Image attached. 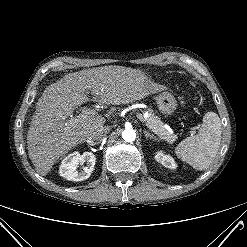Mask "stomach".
Listing matches in <instances>:
<instances>
[{
    "label": "stomach",
    "instance_id": "0dacf381",
    "mask_svg": "<svg viewBox=\"0 0 247 247\" xmlns=\"http://www.w3.org/2000/svg\"><path fill=\"white\" fill-rule=\"evenodd\" d=\"M156 103L160 112L165 115L172 114L177 107V101L175 97L168 92L160 93L156 97Z\"/></svg>",
    "mask_w": 247,
    "mask_h": 247
}]
</instances>
